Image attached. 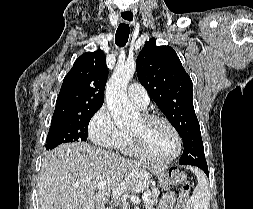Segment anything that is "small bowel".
<instances>
[{
  "instance_id": "1",
  "label": "small bowel",
  "mask_w": 253,
  "mask_h": 209,
  "mask_svg": "<svg viewBox=\"0 0 253 209\" xmlns=\"http://www.w3.org/2000/svg\"><path fill=\"white\" fill-rule=\"evenodd\" d=\"M175 194L170 192L163 196L156 209H177Z\"/></svg>"
}]
</instances>
